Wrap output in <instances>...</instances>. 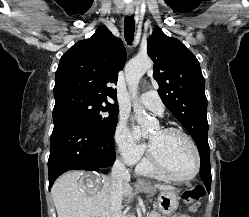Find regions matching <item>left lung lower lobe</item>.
<instances>
[{
  "mask_svg": "<svg viewBox=\"0 0 249 217\" xmlns=\"http://www.w3.org/2000/svg\"><path fill=\"white\" fill-rule=\"evenodd\" d=\"M201 178L203 180V182L206 185L207 191L210 192V188H211V175L205 173V172H201Z\"/></svg>",
  "mask_w": 249,
  "mask_h": 217,
  "instance_id": "0a47b994",
  "label": "left lung lower lobe"
}]
</instances>
